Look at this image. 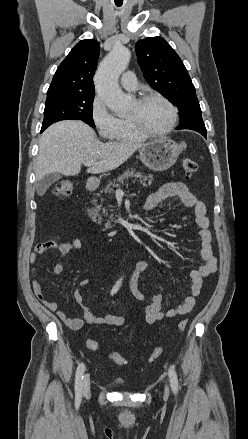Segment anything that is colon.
Listing matches in <instances>:
<instances>
[{"label": "colon", "mask_w": 248, "mask_h": 439, "mask_svg": "<svg viewBox=\"0 0 248 439\" xmlns=\"http://www.w3.org/2000/svg\"><path fill=\"white\" fill-rule=\"evenodd\" d=\"M197 168H198V165H197V162L195 160L190 159V158H186L183 160V169H184L187 177L192 176L197 171ZM73 188H74L73 181L70 179H64V180H61L57 184V186L55 188V193L58 196L66 197L72 193ZM187 323H188L187 319H182L178 323L177 329L179 331H183L186 328ZM87 346L92 351L100 350L99 343L94 341V340H88ZM163 351H164V349L162 346L155 348L149 356V361H154L157 358H159L163 354ZM107 356L111 361H113L115 364H117L119 366H124L127 364L126 358L115 351H111V350L108 351Z\"/></svg>", "instance_id": "1"}]
</instances>
